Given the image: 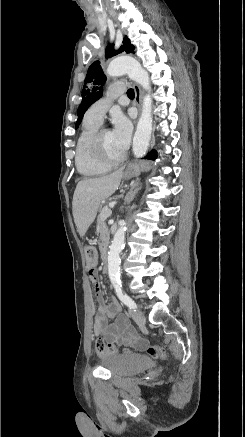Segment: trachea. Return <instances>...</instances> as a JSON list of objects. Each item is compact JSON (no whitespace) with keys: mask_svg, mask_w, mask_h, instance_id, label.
<instances>
[{"mask_svg":"<svg viewBox=\"0 0 245 437\" xmlns=\"http://www.w3.org/2000/svg\"><path fill=\"white\" fill-rule=\"evenodd\" d=\"M127 95H128L129 97H134V95H135L134 90H133V89H129V90L127 91Z\"/></svg>","mask_w":245,"mask_h":437,"instance_id":"3493384b","label":"trachea"}]
</instances>
